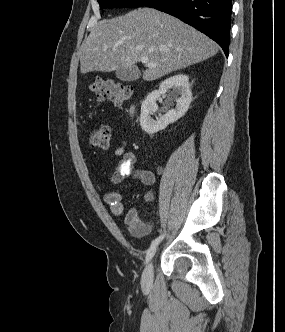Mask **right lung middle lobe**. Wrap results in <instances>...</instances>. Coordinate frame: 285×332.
<instances>
[{
    "instance_id": "right-lung-middle-lobe-1",
    "label": "right lung middle lobe",
    "mask_w": 285,
    "mask_h": 332,
    "mask_svg": "<svg viewBox=\"0 0 285 332\" xmlns=\"http://www.w3.org/2000/svg\"><path fill=\"white\" fill-rule=\"evenodd\" d=\"M100 9L115 7H140L144 6L149 0H97Z\"/></svg>"
}]
</instances>
